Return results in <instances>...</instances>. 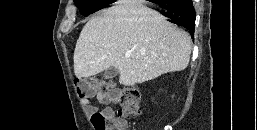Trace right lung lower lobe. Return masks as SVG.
<instances>
[{
  "label": "right lung lower lobe",
  "mask_w": 257,
  "mask_h": 130,
  "mask_svg": "<svg viewBox=\"0 0 257 130\" xmlns=\"http://www.w3.org/2000/svg\"><path fill=\"white\" fill-rule=\"evenodd\" d=\"M154 3L163 8L162 14L168 18V21L188 29L191 35H194L196 15L191 0H164Z\"/></svg>",
  "instance_id": "obj_1"
}]
</instances>
